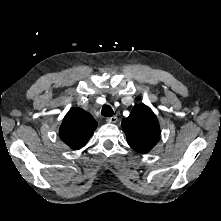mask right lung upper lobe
<instances>
[{
    "mask_svg": "<svg viewBox=\"0 0 221 221\" xmlns=\"http://www.w3.org/2000/svg\"><path fill=\"white\" fill-rule=\"evenodd\" d=\"M97 127L91 114L79 107H73L66 114L59 129L61 140L71 149H80L88 142Z\"/></svg>",
    "mask_w": 221,
    "mask_h": 221,
    "instance_id": "cb5924a9",
    "label": "right lung upper lobe"
}]
</instances>
